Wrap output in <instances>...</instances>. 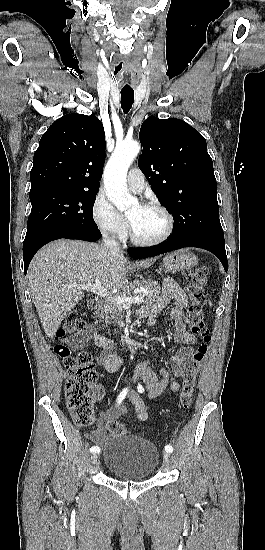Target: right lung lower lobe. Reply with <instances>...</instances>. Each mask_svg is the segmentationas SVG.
<instances>
[{
  "label": "right lung lower lobe",
  "instance_id": "1",
  "mask_svg": "<svg viewBox=\"0 0 265 550\" xmlns=\"http://www.w3.org/2000/svg\"><path fill=\"white\" fill-rule=\"evenodd\" d=\"M67 238L80 239L94 242L101 238V233L98 229H81V228H64L53 233L40 237L27 245L23 246L24 272L27 273L28 266L35 253L45 244L50 241Z\"/></svg>",
  "mask_w": 265,
  "mask_h": 550
}]
</instances>
